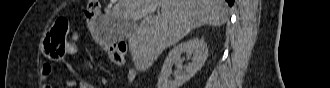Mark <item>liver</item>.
Returning <instances> with one entry per match:
<instances>
[{"label": "liver", "instance_id": "6515ba94", "mask_svg": "<svg viewBox=\"0 0 330 88\" xmlns=\"http://www.w3.org/2000/svg\"><path fill=\"white\" fill-rule=\"evenodd\" d=\"M158 6L161 16L154 15ZM109 16L118 22L140 21L128 43L135 68L145 71L194 28L225 24L228 6L224 0H118Z\"/></svg>", "mask_w": 330, "mask_h": 88}]
</instances>
